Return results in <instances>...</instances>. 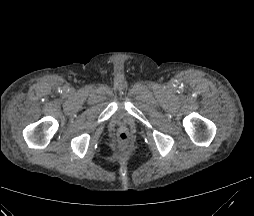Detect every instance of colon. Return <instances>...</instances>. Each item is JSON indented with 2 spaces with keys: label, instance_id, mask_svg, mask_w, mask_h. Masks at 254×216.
<instances>
[{
  "label": "colon",
  "instance_id": "5ec220e1",
  "mask_svg": "<svg viewBox=\"0 0 254 216\" xmlns=\"http://www.w3.org/2000/svg\"><path fill=\"white\" fill-rule=\"evenodd\" d=\"M117 142H118V145L122 146V147H125V146H128L129 143H130V138L128 136L127 133L125 132H122L118 135L117 137Z\"/></svg>",
  "mask_w": 254,
  "mask_h": 216
}]
</instances>
